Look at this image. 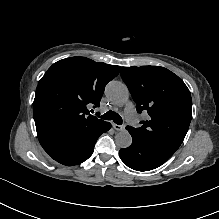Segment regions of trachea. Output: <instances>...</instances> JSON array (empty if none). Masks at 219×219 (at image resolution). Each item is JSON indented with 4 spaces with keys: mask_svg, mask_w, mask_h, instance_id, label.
Instances as JSON below:
<instances>
[{
    "mask_svg": "<svg viewBox=\"0 0 219 219\" xmlns=\"http://www.w3.org/2000/svg\"><path fill=\"white\" fill-rule=\"evenodd\" d=\"M99 118L105 119V120H113L116 124L122 125V118L118 113H115L113 111H108L103 115L96 114Z\"/></svg>",
    "mask_w": 219,
    "mask_h": 219,
    "instance_id": "1",
    "label": "trachea"
}]
</instances>
